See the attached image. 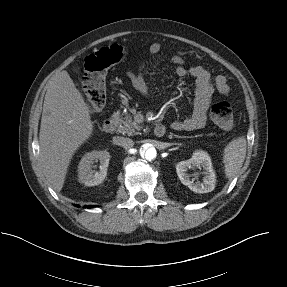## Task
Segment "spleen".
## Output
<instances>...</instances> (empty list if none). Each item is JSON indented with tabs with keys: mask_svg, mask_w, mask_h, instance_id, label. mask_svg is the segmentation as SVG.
<instances>
[{
	"mask_svg": "<svg viewBox=\"0 0 287 287\" xmlns=\"http://www.w3.org/2000/svg\"><path fill=\"white\" fill-rule=\"evenodd\" d=\"M247 141L244 136L233 139L224 148V172L228 179L236 176L246 157Z\"/></svg>",
	"mask_w": 287,
	"mask_h": 287,
	"instance_id": "1",
	"label": "spleen"
}]
</instances>
